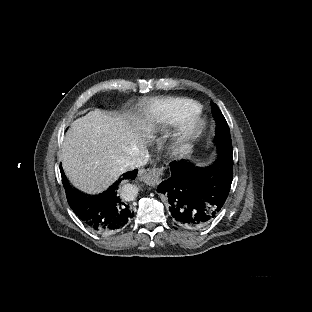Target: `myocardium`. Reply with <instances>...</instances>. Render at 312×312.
<instances>
[{"instance_id": "1", "label": "myocardium", "mask_w": 312, "mask_h": 312, "mask_svg": "<svg viewBox=\"0 0 312 312\" xmlns=\"http://www.w3.org/2000/svg\"><path fill=\"white\" fill-rule=\"evenodd\" d=\"M206 132V118L198 110L183 114L179 124L169 132V142L177 150L188 149L198 144Z\"/></svg>"}]
</instances>
